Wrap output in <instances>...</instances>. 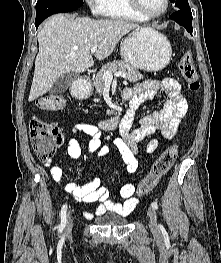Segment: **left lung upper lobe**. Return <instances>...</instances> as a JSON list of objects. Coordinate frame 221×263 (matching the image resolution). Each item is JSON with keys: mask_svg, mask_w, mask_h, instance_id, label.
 <instances>
[{"mask_svg": "<svg viewBox=\"0 0 221 263\" xmlns=\"http://www.w3.org/2000/svg\"><path fill=\"white\" fill-rule=\"evenodd\" d=\"M170 1L175 5V7L180 9L189 7L188 0H170Z\"/></svg>", "mask_w": 221, "mask_h": 263, "instance_id": "5c2ea615", "label": "left lung upper lobe"}]
</instances>
